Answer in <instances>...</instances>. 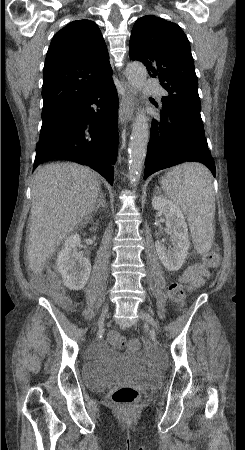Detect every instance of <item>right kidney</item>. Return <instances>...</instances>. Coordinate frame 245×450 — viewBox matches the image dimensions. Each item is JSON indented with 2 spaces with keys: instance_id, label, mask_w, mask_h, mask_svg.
Returning a JSON list of instances; mask_svg holds the SVG:
<instances>
[{
  "instance_id": "ca27d5eb",
  "label": "right kidney",
  "mask_w": 245,
  "mask_h": 450,
  "mask_svg": "<svg viewBox=\"0 0 245 450\" xmlns=\"http://www.w3.org/2000/svg\"><path fill=\"white\" fill-rule=\"evenodd\" d=\"M80 242L78 234L69 236L56 260L64 285L74 291L85 287L91 272L90 260L77 252Z\"/></svg>"
}]
</instances>
